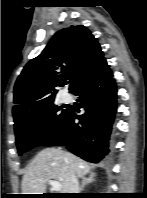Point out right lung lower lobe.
I'll use <instances>...</instances> for the list:
<instances>
[{
	"label": "right lung lower lobe",
	"mask_w": 147,
	"mask_h": 198,
	"mask_svg": "<svg viewBox=\"0 0 147 198\" xmlns=\"http://www.w3.org/2000/svg\"><path fill=\"white\" fill-rule=\"evenodd\" d=\"M112 71L105 61L73 92L80 96V106L85 113L76 116L75 109L55 136L43 146H66L75 155L97 163L109 152L112 124L116 113L117 90ZM78 118L79 123H74Z\"/></svg>",
	"instance_id": "right-lung-lower-lobe-1"
}]
</instances>
